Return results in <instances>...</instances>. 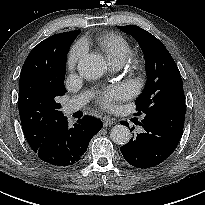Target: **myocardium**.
Wrapping results in <instances>:
<instances>
[{"label": "myocardium", "mask_w": 205, "mask_h": 205, "mask_svg": "<svg viewBox=\"0 0 205 205\" xmlns=\"http://www.w3.org/2000/svg\"><path fill=\"white\" fill-rule=\"evenodd\" d=\"M130 67L132 68L133 71H139L141 69V62L137 58H132L130 60Z\"/></svg>", "instance_id": "obj_1"}]
</instances>
